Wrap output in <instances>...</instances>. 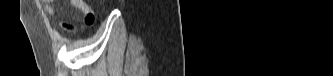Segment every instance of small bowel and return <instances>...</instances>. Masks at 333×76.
I'll return each instance as SVG.
<instances>
[{
  "instance_id": "1",
  "label": "small bowel",
  "mask_w": 333,
  "mask_h": 76,
  "mask_svg": "<svg viewBox=\"0 0 333 76\" xmlns=\"http://www.w3.org/2000/svg\"><path fill=\"white\" fill-rule=\"evenodd\" d=\"M70 4L83 13L84 22H85L86 25H92L93 24L94 14H93L91 8L89 7V5L85 1H83V0H70ZM44 9H45V12L48 15H51V16L56 15V10H55L51 0H46L45 1ZM62 26L65 29H68V30L72 28V26L66 21L62 22Z\"/></svg>"
}]
</instances>
